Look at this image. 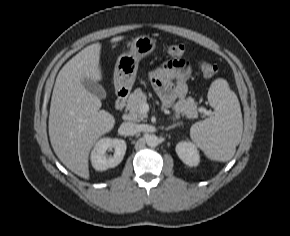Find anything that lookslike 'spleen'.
I'll return each mask as SVG.
<instances>
[{
	"mask_svg": "<svg viewBox=\"0 0 290 236\" xmlns=\"http://www.w3.org/2000/svg\"><path fill=\"white\" fill-rule=\"evenodd\" d=\"M208 100L214 115L191 126L192 141L211 160L228 161L240 143L243 121L239 100L224 79L212 82Z\"/></svg>",
	"mask_w": 290,
	"mask_h": 236,
	"instance_id": "3e777b00",
	"label": "spleen"
}]
</instances>
